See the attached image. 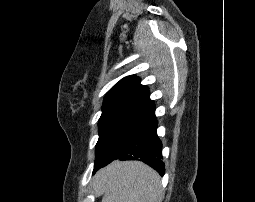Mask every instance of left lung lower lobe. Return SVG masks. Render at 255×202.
Wrapping results in <instances>:
<instances>
[{
  "instance_id": "obj_1",
  "label": "left lung lower lobe",
  "mask_w": 255,
  "mask_h": 202,
  "mask_svg": "<svg viewBox=\"0 0 255 202\" xmlns=\"http://www.w3.org/2000/svg\"><path fill=\"white\" fill-rule=\"evenodd\" d=\"M156 129L157 119L155 117V112H153L131 135L117 155L113 158L101 160L94 164L93 173L116 159H140L163 176L165 168L162 161V144L157 136Z\"/></svg>"
}]
</instances>
